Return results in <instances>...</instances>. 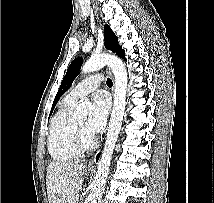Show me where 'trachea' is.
<instances>
[{"instance_id":"1","label":"trachea","mask_w":214,"mask_h":203,"mask_svg":"<svg viewBox=\"0 0 214 203\" xmlns=\"http://www.w3.org/2000/svg\"><path fill=\"white\" fill-rule=\"evenodd\" d=\"M106 83H107V86H109V87H111L113 85L112 80L109 78H107Z\"/></svg>"}]
</instances>
